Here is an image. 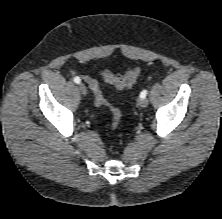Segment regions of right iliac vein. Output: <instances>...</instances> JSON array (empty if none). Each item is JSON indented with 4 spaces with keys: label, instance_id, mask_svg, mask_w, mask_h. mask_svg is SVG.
<instances>
[{
    "label": "right iliac vein",
    "instance_id": "obj_1",
    "mask_svg": "<svg viewBox=\"0 0 222 219\" xmlns=\"http://www.w3.org/2000/svg\"><path fill=\"white\" fill-rule=\"evenodd\" d=\"M78 88H79L81 94H83V95L87 94V88L83 83H79Z\"/></svg>",
    "mask_w": 222,
    "mask_h": 219
}]
</instances>
